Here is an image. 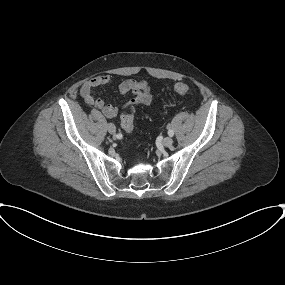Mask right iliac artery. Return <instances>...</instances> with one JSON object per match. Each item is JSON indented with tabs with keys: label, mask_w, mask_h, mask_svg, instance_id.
<instances>
[{
	"label": "right iliac artery",
	"mask_w": 285,
	"mask_h": 285,
	"mask_svg": "<svg viewBox=\"0 0 285 285\" xmlns=\"http://www.w3.org/2000/svg\"><path fill=\"white\" fill-rule=\"evenodd\" d=\"M116 137H117L118 139H121V138H122V134H121V133H118V134L116 135Z\"/></svg>",
	"instance_id": "82829eb1"
}]
</instances>
